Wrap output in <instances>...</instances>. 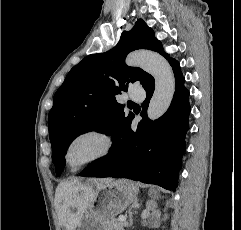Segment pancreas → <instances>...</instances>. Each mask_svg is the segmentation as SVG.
Returning a JSON list of instances; mask_svg holds the SVG:
<instances>
[{"instance_id": "1", "label": "pancreas", "mask_w": 241, "mask_h": 230, "mask_svg": "<svg viewBox=\"0 0 241 230\" xmlns=\"http://www.w3.org/2000/svg\"><path fill=\"white\" fill-rule=\"evenodd\" d=\"M107 226L108 230H124V224L117 219H112L109 221Z\"/></svg>"}]
</instances>
